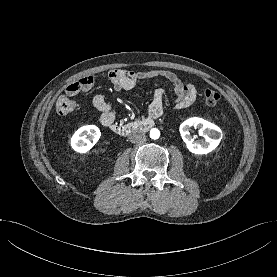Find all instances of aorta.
<instances>
[{"instance_id":"762f6f07","label":"aorta","mask_w":277,"mask_h":277,"mask_svg":"<svg viewBox=\"0 0 277 277\" xmlns=\"http://www.w3.org/2000/svg\"><path fill=\"white\" fill-rule=\"evenodd\" d=\"M160 137V131L156 128L150 130V138L151 139H158Z\"/></svg>"}]
</instances>
